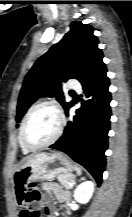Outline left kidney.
Wrapping results in <instances>:
<instances>
[{
	"label": "left kidney",
	"instance_id": "left-kidney-1",
	"mask_svg": "<svg viewBox=\"0 0 132 217\" xmlns=\"http://www.w3.org/2000/svg\"><path fill=\"white\" fill-rule=\"evenodd\" d=\"M94 192V184L92 181L81 183L74 191V198L77 202L86 204L92 197Z\"/></svg>",
	"mask_w": 132,
	"mask_h": 217
}]
</instances>
